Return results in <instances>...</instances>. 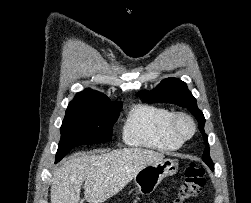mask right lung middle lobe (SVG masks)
Returning a JSON list of instances; mask_svg holds the SVG:
<instances>
[{"label":"right lung middle lobe","instance_id":"1","mask_svg":"<svg viewBox=\"0 0 251 203\" xmlns=\"http://www.w3.org/2000/svg\"><path fill=\"white\" fill-rule=\"evenodd\" d=\"M122 103L68 105L55 162L78 145L109 142Z\"/></svg>","mask_w":251,"mask_h":203}]
</instances>
